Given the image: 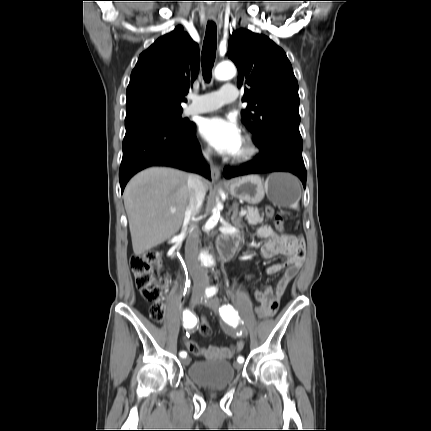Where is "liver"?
Returning <instances> with one entry per match:
<instances>
[{
    "mask_svg": "<svg viewBox=\"0 0 431 431\" xmlns=\"http://www.w3.org/2000/svg\"><path fill=\"white\" fill-rule=\"evenodd\" d=\"M189 174L152 167L134 176L123 198L134 254L139 256L174 236L189 202ZM205 190L209 184L204 182ZM175 209V213H171Z\"/></svg>",
    "mask_w": 431,
    "mask_h": 431,
    "instance_id": "obj_1",
    "label": "liver"
}]
</instances>
